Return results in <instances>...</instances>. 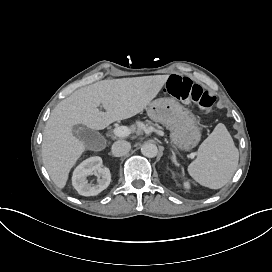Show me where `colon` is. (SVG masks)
<instances>
[{"label":"colon","instance_id":"obj_1","mask_svg":"<svg viewBox=\"0 0 272 272\" xmlns=\"http://www.w3.org/2000/svg\"><path fill=\"white\" fill-rule=\"evenodd\" d=\"M167 91L170 97L184 104L197 105L205 111H212L216 97L201 85L187 77L172 75L167 82Z\"/></svg>","mask_w":272,"mask_h":272}]
</instances>
